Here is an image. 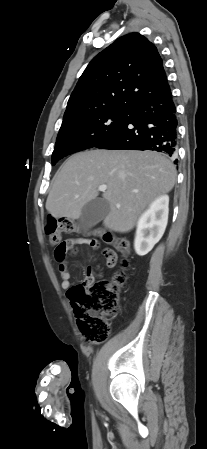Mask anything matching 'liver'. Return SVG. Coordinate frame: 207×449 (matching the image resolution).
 Instances as JSON below:
<instances>
[{
	"label": "liver",
	"instance_id": "1",
	"mask_svg": "<svg viewBox=\"0 0 207 449\" xmlns=\"http://www.w3.org/2000/svg\"><path fill=\"white\" fill-rule=\"evenodd\" d=\"M176 169L155 151L90 150L69 157L55 175L46 201L54 218L78 219L86 203L95 199L100 185L110 206L104 226L114 232L132 230L145 208L169 193Z\"/></svg>",
	"mask_w": 207,
	"mask_h": 449
}]
</instances>
